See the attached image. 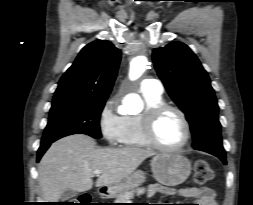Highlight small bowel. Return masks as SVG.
Wrapping results in <instances>:
<instances>
[{
	"mask_svg": "<svg viewBox=\"0 0 253 205\" xmlns=\"http://www.w3.org/2000/svg\"><path fill=\"white\" fill-rule=\"evenodd\" d=\"M157 193H161L164 195H174L175 190L164 187V186H160L157 184L151 185L149 187L148 195L152 197ZM180 195H182L183 197L195 200L197 202L196 205H217L215 201L214 193L208 187L185 188L180 191Z\"/></svg>",
	"mask_w": 253,
	"mask_h": 205,
	"instance_id": "1",
	"label": "small bowel"
}]
</instances>
